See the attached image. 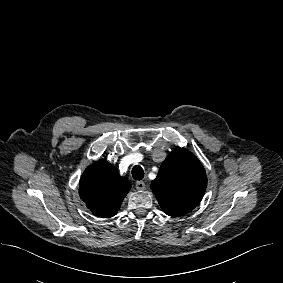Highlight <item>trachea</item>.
I'll list each match as a JSON object with an SVG mask.
<instances>
[{
	"label": "trachea",
	"mask_w": 283,
	"mask_h": 283,
	"mask_svg": "<svg viewBox=\"0 0 283 283\" xmlns=\"http://www.w3.org/2000/svg\"><path fill=\"white\" fill-rule=\"evenodd\" d=\"M132 177L133 179L135 180H142L143 177H144V171L142 169L141 166L139 165H135L133 168H132Z\"/></svg>",
	"instance_id": "obj_1"
}]
</instances>
